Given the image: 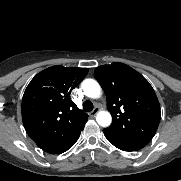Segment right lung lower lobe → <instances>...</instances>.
<instances>
[{
	"instance_id": "98d812e1",
	"label": "right lung lower lobe",
	"mask_w": 181,
	"mask_h": 181,
	"mask_svg": "<svg viewBox=\"0 0 181 181\" xmlns=\"http://www.w3.org/2000/svg\"><path fill=\"white\" fill-rule=\"evenodd\" d=\"M81 132V131H80ZM80 132H79V134H78V136L75 138V140H73L72 142H71V144H69L66 148H64L63 150H61V151H59V152H57V153H54V154H60V153H63V152H65V151H67L68 149H70L73 145H74V143L78 140V138H79V136H80Z\"/></svg>"
}]
</instances>
